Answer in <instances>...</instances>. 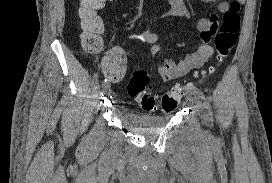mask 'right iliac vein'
Returning a JSON list of instances; mask_svg holds the SVG:
<instances>
[{"instance_id": "63e3f726", "label": "right iliac vein", "mask_w": 272, "mask_h": 183, "mask_svg": "<svg viewBox=\"0 0 272 183\" xmlns=\"http://www.w3.org/2000/svg\"><path fill=\"white\" fill-rule=\"evenodd\" d=\"M104 91L108 94H110L111 90H110V85L104 87Z\"/></svg>"}]
</instances>
